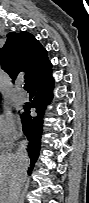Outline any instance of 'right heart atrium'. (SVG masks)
Segmentation results:
<instances>
[{
	"instance_id": "obj_1",
	"label": "right heart atrium",
	"mask_w": 89,
	"mask_h": 203,
	"mask_svg": "<svg viewBox=\"0 0 89 203\" xmlns=\"http://www.w3.org/2000/svg\"><path fill=\"white\" fill-rule=\"evenodd\" d=\"M19 137L15 121L11 114L0 116V144L3 149H10L14 141Z\"/></svg>"
}]
</instances>
